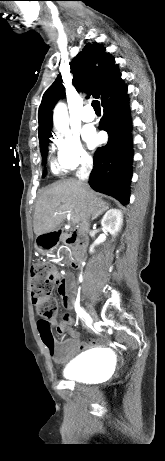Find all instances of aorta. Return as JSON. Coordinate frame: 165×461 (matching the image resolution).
Instances as JSON below:
<instances>
[{"mask_svg":"<svg viewBox=\"0 0 165 461\" xmlns=\"http://www.w3.org/2000/svg\"><path fill=\"white\" fill-rule=\"evenodd\" d=\"M53 123L59 132H66L69 128L67 108L62 102H59L54 109Z\"/></svg>","mask_w":165,"mask_h":461,"instance_id":"762f6f07","label":"aorta"}]
</instances>
